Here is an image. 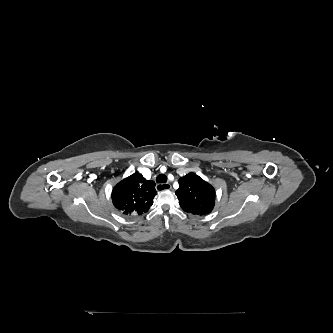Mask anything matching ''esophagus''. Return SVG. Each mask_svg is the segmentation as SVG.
<instances>
[{
  "mask_svg": "<svg viewBox=\"0 0 333 333\" xmlns=\"http://www.w3.org/2000/svg\"><path fill=\"white\" fill-rule=\"evenodd\" d=\"M171 189V185L169 183H165V184H157L156 185V190L157 191H163V190H169Z\"/></svg>",
  "mask_w": 333,
  "mask_h": 333,
  "instance_id": "obj_1",
  "label": "esophagus"
}]
</instances>
